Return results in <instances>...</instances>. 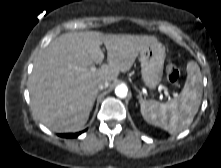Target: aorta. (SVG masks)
I'll return each mask as SVG.
<instances>
[{"label":"aorta","instance_id":"762f6f07","mask_svg":"<svg viewBox=\"0 0 221 168\" xmlns=\"http://www.w3.org/2000/svg\"><path fill=\"white\" fill-rule=\"evenodd\" d=\"M128 89L125 85H118L115 88V94L119 98H125L127 96Z\"/></svg>","mask_w":221,"mask_h":168}]
</instances>
